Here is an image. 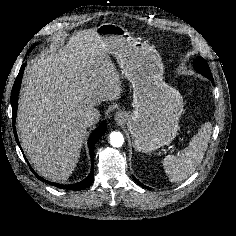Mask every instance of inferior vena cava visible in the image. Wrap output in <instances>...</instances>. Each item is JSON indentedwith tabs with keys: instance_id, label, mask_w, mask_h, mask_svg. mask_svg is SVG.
<instances>
[{
	"instance_id": "obj_1",
	"label": "inferior vena cava",
	"mask_w": 236,
	"mask_h": 236,
	"mask_svg": "<svg viewBox=\"0 0 236 236\" xmlns=\"http://www.w3.org/2000/svg\"><path fill=\"white\" fill-rule=\"evenodd\" d=\"M100 112L96 108H87L83 113V122L86 126H91L99 121Z\"/></svg>"
}]
</instances>
